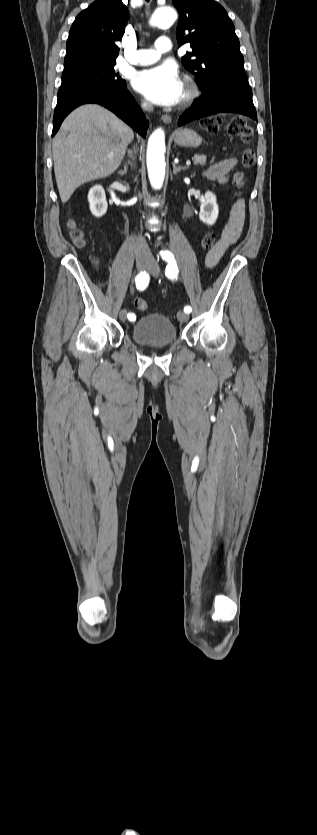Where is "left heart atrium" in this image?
<instances>
[{
	"label": "left heart atrium",
	"mask_w": 317,
	"mask_h": 835,
	"mask_svg": "<svg viewBox=\"0 0 317 835\" xmlns=\"http://www.w3.org/2000/svg\"><path fill=\"white\" fill-rule=\"evenodd\" d=\"M135 88L158 105H174L183 95V83L171 63L143 70L135 78Z\"/></svg>",
	"instance_id": "1"
}]
</instances>
